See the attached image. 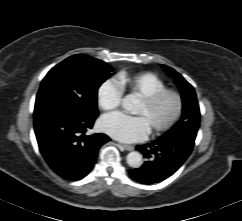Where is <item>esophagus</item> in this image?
<instances>
[{"instance_id": "esophagus-1", "label": "esophagus", "mask_w": 242, "mask_h": 221, "mask_svg": "<svg viewBox=\"0 0 242 221\" xmlns=\"http://www.w3.org/2000/svg\"><path fill=\"white\" fill-rule=\"evenodd\" d=\"M119 147H121L122 149L127 150V151L134 150V147L133 146L127 145V144H119Z\"/></svg>"}]
</instances>
